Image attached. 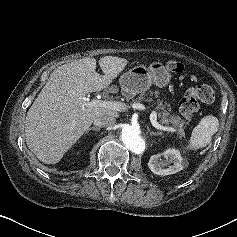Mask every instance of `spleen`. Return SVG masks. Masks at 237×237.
I'll return each instance as SVG.
<instances>
[{
	"label": "spleen",
	"mask_w": 237,
	"mask_h": 237,
	"mask_svg": "<svg viewBox=\"0 0 237 237\" xmlns=\"http://www.w3.org/2000/svg\"><path fill=\"white\" fill-rule=\"evenodd\" d=\"M219 127V121L215 116L208 115L201 119L199 124L193 129L187 149L196 150L207 146L213 134Z\"/></svg>",
	"instance_id": "spleen-1"
}]
</instances>
